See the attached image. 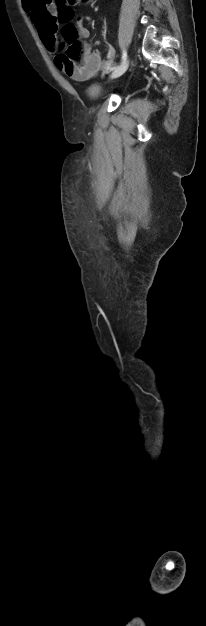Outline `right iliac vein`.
<instances>
[{
  "label": "right iliac vein",
  "mask_w": 206,
  "mask_h": 626,
  "mask_svg": "<svg viewBox=\"0 0 206 626\" xmlns=\"http://www.w3.org/2000/svg\"><path fill=\"white\" fill-rule=\"evenodd\" d=\"M128 66H129V62L128 61L124 62L121 67H119L118 69H116L115 71L111 73L110 78L115 79V78L120 77L126 72V70L128 69Z\"/></svg>",
  "instance_id": "right-iliac-vein-1"
}]
</instances>
